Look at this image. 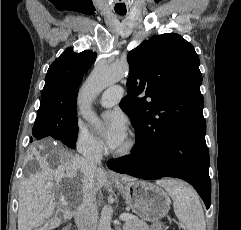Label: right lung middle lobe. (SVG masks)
Here are the masks:
<instances>
[{
  "label": "right lung middle lobe",
  "mask_w": 241,
  "mask_h": 230,
  "mask_svg": "<svg viewBox=\"0 0 241 230\" xmlns=\"http://www.w3.org/2000/svg\"><path fill=\"white\" fill-rule=\"evenodd\" d=\"M77 135L76 109L38 111L30 141L52 137L73 148Z\"/></svg>",
  "instance_id": "dd1d6c3e"
}]
</instances>
